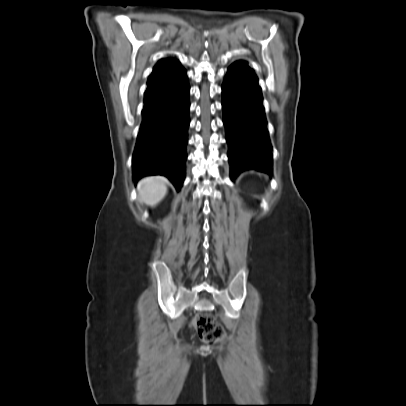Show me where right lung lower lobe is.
Listing matches in <instances>:
<instances>
[{"label":"right lung lower lobe","instance_id":"obj_1","mask_svg":"<svg viewBox=\"0 0 406 406\" xmlns=\"http://www.w3.org/2000/svg\"><path fill=\"white\" fill-rule=\"evenodd\" d=\"M190 86L186 70L176 67L162 81L147 86L135 151L133 175L168 177L177 190L185 178Z\"/></svg>","mask_w":406,"mask_h":406}]
</instances>
